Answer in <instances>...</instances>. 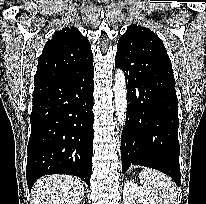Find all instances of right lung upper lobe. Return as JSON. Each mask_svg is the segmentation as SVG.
I'll list each match as a JSON object with an SVG mask.
<instances>
[{"label":"right lung upper lobe","mask_w":206,"mask_h":204,"mask_svg":"<svg viewBox=\"0 0 206 204\" xmlns=\"http://www.w3.org/2000/svg\"><path fill=\"white\" fill-rule=\"evenodd\" d=\"M93 60L91 45L75 27L57 31L45 44L39 57L35 84L70 75Z\"/></svg>","instance_id":"obj_1"}]
</instances>
